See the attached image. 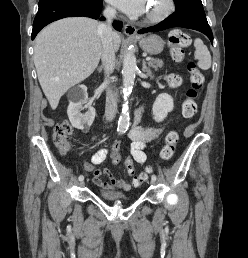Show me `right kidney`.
Returning <instances> with one entry per match:
<instances>
[{"instance_id":"right-kidney-1","label":"right kidney","mask_w":248,"mask_h":258,"mask_svg":"<svg viewBox=\"0 0 248 258\" xmlns=\"http://www.w3.org/2000/svg\"><path fill=\"white\" fill-rule=\"evenodd\" d=\"M69 106L67 114L73 127L83 130L90 127L96 115L94 107L87 104L88 94L87 88L84 85L72 89L69 94ZM87 109L85 114L81 110Z\"/></svg>"}]
</instances>
